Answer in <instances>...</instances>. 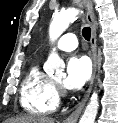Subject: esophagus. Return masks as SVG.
<instances>
[{
    "mask_svg": "<svg viewBox=\"0 0 118 123\" xmlns=\"http://www.w3.org/2000/svg\"><path fill=\"white\" fill-rule=\"evenodd\" d=\"M84 6L87 11V21L90 24L91 27V57L93 61V73L92 78L90 81L89 88L87 89L83 99L78 104L77 108L64 120V123H76L84 106L86 101L89 98L90 92L92 90V86L94 83L95 75H96V69H97V39H96V22H95V16H94V10H93V3L91 0H83Z\"/></svg>",
    "mask_w": 118,
    "mask_h": 123,
    "instance_id": "esophagus-1",
    "label": "esophagus"
}]
</instances>
